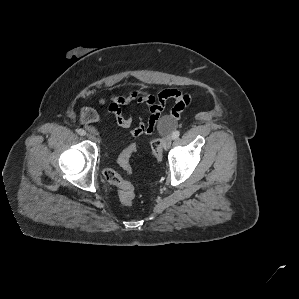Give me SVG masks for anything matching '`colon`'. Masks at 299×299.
Segmentation results:
<instances>
[{
	"instance_id": "5ec220e1",
	"label": "colon",
	"mask_w": 299,
	"mask_h": 299,
	"mask_svg": "<svg viewBox=\"0 0 299 299\" xmlns=\"http://www.w3.org/2000/svg\"><path fill=\"white\" fill-rule=\"evenodd\" d=\"M174 126V121L169 117L164 118L160 123V129H171ZM137 150V144L131 143L118 157V165L125 172L131 171V158ZM151 153L156 160H161L163 156V147L161 140H153L151 142ZM105 180L118 188L119 199L124 205H131L135 198L133 185L122 178V176L113 169H106L103 173Z\"/></svg>"
}]
</instances>
